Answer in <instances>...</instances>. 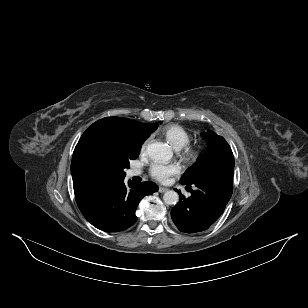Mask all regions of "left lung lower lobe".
I'll list each match as a JSON object with an SVG mask.
<instances>
[{"instance_id":"0a47b994","label":"left lung lower lobe","mask_w":308,"mask_h":308,"mask_svg":"<svg viewBox=\"0 0 308 308\" xmlns=\"http://www.w3.org/2000/svg\"><path fill=\"white\" fill-rule=\"evenodd\" d=\"M198 189L191 196L180 194L178 204L172 209L171 217L181 232L196 233L208 229L223 213L233 192V168L221 167L210 171L192 183H182Z\"/></svg>"}]
</instances>
